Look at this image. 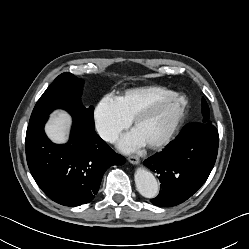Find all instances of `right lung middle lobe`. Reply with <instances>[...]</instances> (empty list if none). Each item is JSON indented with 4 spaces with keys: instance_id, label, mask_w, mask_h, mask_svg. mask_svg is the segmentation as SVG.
<instances>
[{
    "instance_id": "right-lung-middle-lobe-1",
    "label": "right lung middle lobe",
    "mask_w": 249,
    "mask_h": 249,
    "mask_svg": "<svg viewBox=\"0 0 249 249\" xmlns=\"http://www.w3.org/2000/svg\"><path fill=\"white\" fill-rule=\"evenodd\" d=\"M82 87L83 80L73 74L59 75L36 103L29 123L48 116L54 109L61 108L85 126L94 128V107L85 108L82 105Z\"/></svg>"
}]
</instances>
